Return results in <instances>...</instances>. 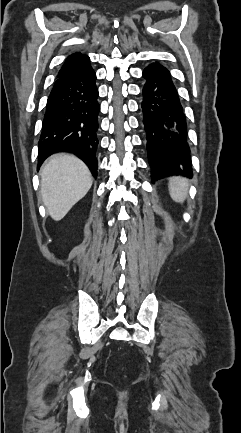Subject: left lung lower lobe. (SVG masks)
Instances as JSON below:
<instances>
[{"label": "left lung lower lobe", "mask_w": 241, "mask_h": 433, "mask_svg": "<svg viewBox=\"0 0 241 433\" xmlns=\"http://www.w3.org/2000/svg\"><path fill=\"white\" fill-rule=\"evenodd\" d=\"M143 129L152 181L171 175L192 176L184 108L169 71L155 63L143 71Z\"/></svg>", "instance_id": "1"}]
</instances>
